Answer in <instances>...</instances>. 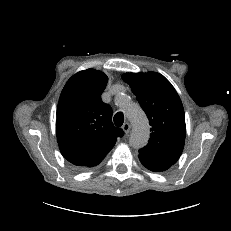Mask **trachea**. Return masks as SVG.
Listing matches in <instances>:
<instances>
[{
  "label": "trachea",
  "mask_w": 231,
  "mask_h": 231,
  "mask_svg": "<svg viewBox=\"0 0 231 231\" xmlns=\"http://www.w3.org/2000/svg\"><path fill=\"white\" fill-rule=\"evenodd\" d=\"M123 122H124V115L122 112H118L115 114L114 116V124L117 126V127H120L123 125Z\"/></svg>",
  "instance_id": "trachea-1"
}]
</instances>
